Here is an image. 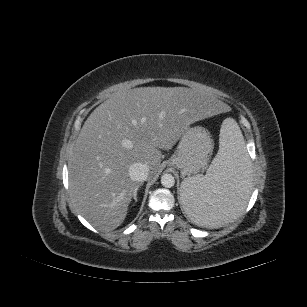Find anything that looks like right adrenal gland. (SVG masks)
<instances>
[{
	"label": "right adrenal gland",
	"instance_id": "1",
	"mask_svg": "<svg viewBox=\"0 0 307 307\" xmlns=\"http://www.w3.org/2000/svg\"><path fill=\"white\" fill-rule=\"evenodd\" d=\"M135 202L137 201V191L134 193V196H133Z\"/></svg>",
	"mask_w": 307,
	"mask_h": 307
}]
</instances>
